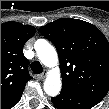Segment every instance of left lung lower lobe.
Listing matches in <instances>:
<instances>
[{"label": "left lung lower lobe", "mask_w": 109, "mask_h": 109, "mask_svg": "<svg viewBox=\"0 0 109 109\" xmlns=\"http://www.w3.org/2000/svg\"><path fill=\"white\" fill-rule=\"evenodd\" d=\"M51 100L58 109H91L99 103L92 98L63 88L61 93Z\"/></svg>", "instance_id": "1"}]
</instances>
